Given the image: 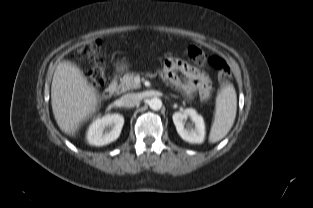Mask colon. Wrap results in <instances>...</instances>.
Listing matches in <instances>:
<instances>
[{
    "instance_id": "colon-1",
    "label": "colon",
    "mask_w": 313,
    "mask_h": 208,
    "mask_svg": "<svg viewBox=\"0 0 313 208\" xmlns=\"http://www.w3.org/2000/svg\"><path fill=\"white\" fill-rule=\"evenodd\" d=\"M100 48L101 43L97 40L81 47L79 49V55L84 59H96L99 57ZM188 56L193 62L199 65L207 62L216 71L217 78L220 83H226L227 81H229L231 77L230 67L221 58L217 56L209 57L196 46H190L188 48ZM89 76L92 82L96 85H102L105 81L104 69L101 65L95 66L90 71Z\"/></svg>"
}]
</instances>
